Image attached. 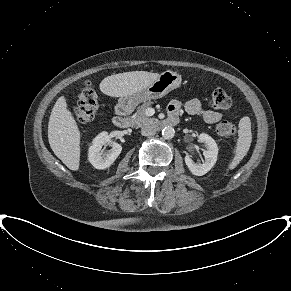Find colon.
<instances>
[{
    "label": "colon",
    "instance_id": "1",
    "mask_svg": "<svg viewBox=\"0 0 291 291\" xmlns=\"http://www.w3.org/2000/svg\"><path fill=\"white\" fill-rule=\"evenodd\" d=\"M231 99L225 90L217 88L213 90L210 97V105L216 109H226L230 106ZM99 108L97 93L91 83L84 84L79 96L77 106L74 108V116L81 123L90 122ZM235 124L230 119H224L216 126V134L221 138L234 135Z\"/></svg>",
    "mask_w": 291,
    "mask_h": 291
}]
</instances>
